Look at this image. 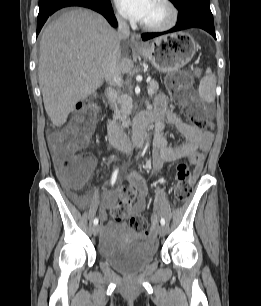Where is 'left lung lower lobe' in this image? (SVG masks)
Returning <instances> with one entry per match:
<instances>
[{"label":"left lung lower lobe","mask_w":261,"mask_h":306,"mask_svg":"<svg viewBox=\"0 0 261 306\" xmlns=\"http://www.w3.org/2000/svg\"><path fill=\"white\" fill-rule=\"evenodd\" d=\"M178 11V21L175 27L165 32L142 34V40L146 41L163 34L172 33L188 28L204 29L216 39L213 15L211 13L210 6L193 3L179 9Z\"/></svg>","instance_id":"obj_1"}]
</instances>
